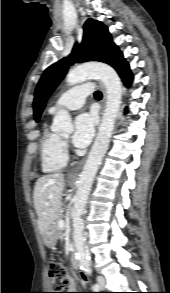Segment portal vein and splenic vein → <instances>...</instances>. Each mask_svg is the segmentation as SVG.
Instances as JSON below:
<instances>
[{
    "mask_svg": "<svg viewBox=\"0 0 170 293\" xmlns=\"http://www.w3.org/2000/svg\"><path fill=\"white\" fill-rule=\"evenodd\" d=\"M58 226H59L60 229H63L64 226H65V222H64V220H62V219L59 220V221H58Z\"/></svg>",
    "mask_w": 170,
    "mask_h": 293,
    "instance_id": "portal-vein-and-splenic-vein-1",
    "label": "portal vein and splenic vein"
}]
</instances>
